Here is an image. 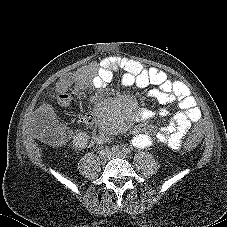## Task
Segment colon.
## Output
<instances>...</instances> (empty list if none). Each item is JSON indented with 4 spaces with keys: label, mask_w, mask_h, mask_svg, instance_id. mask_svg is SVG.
Returning <instances> with one entry per match:
<instances>
[{
    "label": "colon",
    "mask_w": 227,
    "mask_h": 227,
    "mask_svg": "<svg viewBox=\"0 0 227 227\" xmlns=\"http://www.w3.org/2000/svg\"><path fill=\"white\" fill-rule=\"evenodd\" d=\"M64 96L58 94V100ZM37 132L41 142L47 145H59L66 140V132L62 125L58 122H44L37 126ZM200 141L197 137L192 136L187 139L184 146L187 150L192 151L197 148Z\"/></svg>",
    "instance_id": "colon-1"
}]
</instances>
